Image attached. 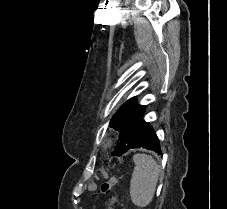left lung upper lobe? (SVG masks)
<instances>
[{
	"instance_id": "5c2ea615",
	"label": "left lung upper lobe",
	"mask_w": 227,
	"mask_h": 209,
	"mask_svg": "<svg viewBox=\"0 0 227 209\" xmlns=\"http://www.w3.org/2000/svg\"><path fill=\"white\" fill-rule=\"evenodd\" d=\"M143 112L144 106L138 105L136 98L132 97L112 117L110 127L120 133V141L112 153L113 156H121L129 150L136 136L137 129L143 120Z\"/></svg>"
}]
</instances>
